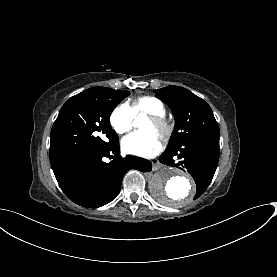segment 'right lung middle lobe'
Segmentation results:
<instances>
[{"label": "right lung middle lobe", "mask_w": 277, "mask_h": 277, "mask_svg": "<svg viewBox=\"0 0 277 277\" xmlns=\"http://www.w3.org/2000/svg\"><path fill=\"white\" fill-rule=\"evenodd\" d=\"M130 93L111 88L87 89L61 108L50 134V161L85 150H103L119 142L110 115Z\"/></svg>", "instance_id": "right-lung-middle-lobe-1"}]
</instances>
